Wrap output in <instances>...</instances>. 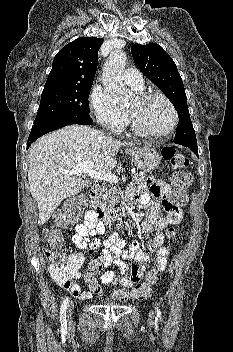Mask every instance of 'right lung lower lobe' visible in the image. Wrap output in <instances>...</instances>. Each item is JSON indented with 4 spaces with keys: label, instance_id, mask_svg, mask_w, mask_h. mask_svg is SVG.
I'll return each instance as SVG.
<instances>
[{
    "label": "right lung lower lobe",
    "instance_id": "1",
    "mask_svg": "<svg viewBox=\"0 0 233 352\" xmlns=\"http://www.w3.org/2000/svg\"><path fill=\"white\" fill-rule=\"evenodd\" d=\"M70 124L90 125L92 124V120L90 117L72 116L67 118L51 120L40 124H35L32 127V130L30 132V135L27 141V149L31 146V144L35 140H37L42 135Z\"/></svg>",
    "mask_w": 233,
    "mask_h": 352
}]
</instances>
